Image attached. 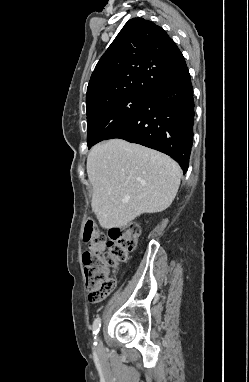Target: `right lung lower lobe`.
<instances>
[{
  "instance_id": "1",
  "label": "right lung lower lobe",
  "mask_w": 249,
  "mask_h": 382,
  "mask_svg": "<svg viewBox=\"0 0 249 382\" xmlns=\"http://www.w3.org/2000/svg\"><path fill=\"white\" fill-rule=\"evenodd\" d=\"M194 96L187 66L161 82L138 113L107 139L120 138L163 152L186 173L193 140Z\"/></svg>"
}]
</instances>
